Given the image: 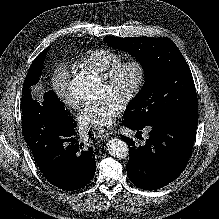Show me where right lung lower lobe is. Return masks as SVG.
Listing matches in <instances>:
<instances>
[{"label":"right lung lower lobe","mask_w":219,"mask_h":219,"mask_svg":"<svg viewBox=\"0 0 219 219\" xmlns=\"http://www.w3.org/2000/svg\"><path fill=\"white\" fill-rule=\"evenodd\" d=\"M21 107L24 139L46 179L63 190L84 187L93 178L96 163L92 147L79 139L73 118L40 105L31 90L22 96ZM88 135L93 139L91 132Z\"/></svg>","instance_id":"obj_1"}]
</instances>
